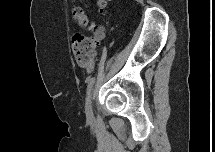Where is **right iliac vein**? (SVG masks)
Wrapping results in <instances>:
<instances>
[{"instance_id": "obj_1", "label": "right iliac vein", "mask_w": 215, "mask_h": 152, "mask_svg": "<svg viewBox=\"0 0 215 152\" xmlns=\"http://www.w3.org/2000/svg\"><path fill=\"white\" fill-rule=\"evenodd\" d=\"M91 100H92V95L89 94L87 97V100H86V105H85L87 117L90 116V112H91Z\"/></svg>"}]
</instances>
